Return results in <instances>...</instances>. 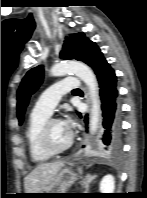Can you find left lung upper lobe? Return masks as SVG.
I'll return each instance as SVG.
<instances>
[{"label":"left lung upper lobe","mask_w":147,"mask_h":198,"mask_svg":"<svg viewBox=\"0 0 147 198\" xmlns=\"http://www.w3.org/2000/svg\"><path fill=\"white\" fill-rule=\"evenodd\" d=\"M92 43L94 42L85 37L82 32L70 34L64 40L60 57L62 59H76L85 62ZM42 81V65L31 69L23 78L17 92V116L19 124H22L23 122L25 109L28 105L30 96L38 89Z\"/></svg>","instance_id":"5c2ea615"}]
</instances>
